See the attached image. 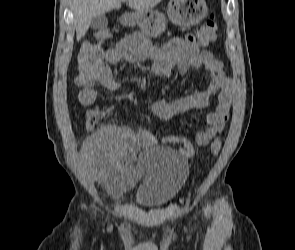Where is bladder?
I'll list each match as a JSON object with an SVG mask.
<instances>
[{"label":"bladder","mask_w":295,"mask_h":250,"mask_svg":"<svg viewBox=\"0 0 295 250\" xmlns=\"http://www.w3.org/2000/svg\"><path fill=\"white\" fill-rule=\"evenodd\" d=\"M136 166L144 170L137 188V203L145 208H158L168 203L186 180L189 170L187 160L169 147L144 150Z\"/></svg>","instance_id":"1"}]
</instances>
